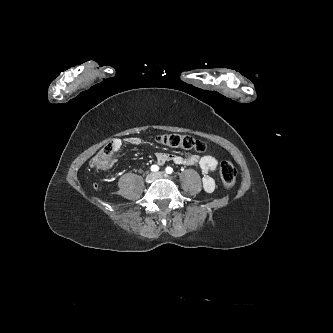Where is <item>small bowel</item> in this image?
<instances>
[{"mask_svg": "<svg viewBox=\"0 0 333 333\" xmlns=\"http://www.w3.org/2000/svg\"><path fill=\"white\" fill-rule=\"evenodd\" d=\"M142 143L141 139L137 137H128L125 139L115 138L112 142L113 148L116 151L121 150L124 144L127 145H140ZM157 163L163 165L167 162H173L177 165L195 167L198 168L202 175V184L206 192L214 191L216 183L212 178L211 174L217 171L218 161L211 155H187L183 156L180 154H167V153H158L157 154Z\"/></svg>", "mask_w": 333, "mask_h": 333, "instance_id": "small-bowel-1", "label": "small bowel"}]
</instances>
